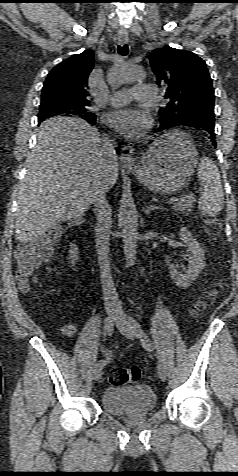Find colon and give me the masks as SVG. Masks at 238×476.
I'll use <instances>...</instances> for the list:
<instances>
[{"instance_id":"colon-1","label":"colon","mask_w":238,"mask_h":476,"mask_svg":"<svg viewBox=\"0 0 238 476\" xmlns=\"http://www.w3.org/2000/svg\"><path fill=\"white\" fill-rule=\"evenodd\" d=\"M205 229L208 235L217 236L220 231L218 220L213 217L206 218ZM59 235L58 229H52L41 239L27 241L19 245L16 252L17 278L22 291L29 288L35 272L50 257L52 246L58 240ZM214 299V292L204 293L197 303L194 313L198 315L204 311L213 303ZM139 377V368L128 366L111 370L109 381L113 385H128L136 383Z\"/></svg>"}]
</instances>
